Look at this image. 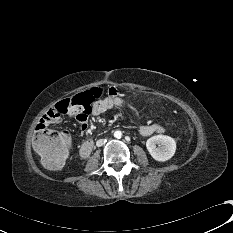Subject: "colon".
I'll use <instances>...</instances> for the list:
<instances>
[{"label": "colon", "instance_id": "colon-1", "mask_svg": "<svg viewBox=\"0 0 233 233\" xmlns=\"http://www.w3.org/2000/svg\"><path fill=\"white\" fill-rule=\"evenodd\" d=\"M103 89L99 86L87 89L77 95L60 102L61 108H73L78 111H88L92 104L101 98ZM188 132L192 127L187 126ZM33 146L40 156L42 163L50 168H60L70 155L72 141L66 131H51L47 128L37 127L33 136Z\"/></svg>", "mask_w": 233, "mask_h": 233}]
</instances>
